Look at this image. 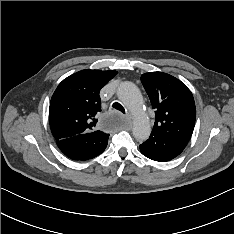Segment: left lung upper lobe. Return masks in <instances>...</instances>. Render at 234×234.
Instances as JSON below:
<instances>
[{
  "mask_svg": "<svg viewBox=\"0 0 234 234\" xmlns=\"http://www.w3.org/2000/svg\"><path fill=\"white\" fill-rule=\"evenodd\" d=\"M142 84L155 109L153 134H158L186 147L196 118L193 95L177 78L163 72L141 76Z\"/></svg>",
  "mask_w": 234,
  "mask_h": 234,
  "instance_id": "left-lung-upper-lobe-1",
  "label": "left lung upper lobe"
}]
</instances>
